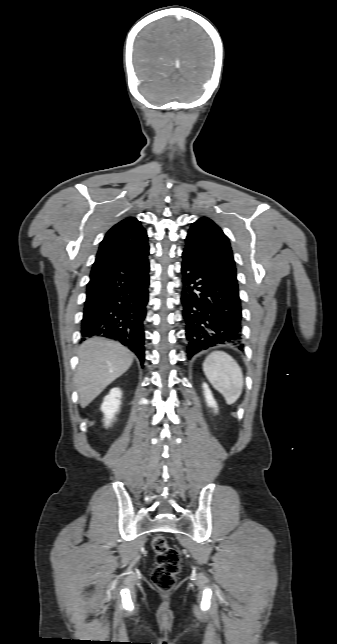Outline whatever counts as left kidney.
Listing matches in <instances>:
<instances>
[{"label": "left kidney", "mask_w": 337, "mask_h": 644, "mask_svg": "<svg viewBox=\"0 0 337 644\" xmlns=\"http://www.w3.org/2000/svg\"><path fill=\"white\" fill-rule=\"evenodd\" d=\"M202 387H203V390H204L203 392H204L205 400H206V403H207L208 407L214 408L215 412H217V410H218L217 409V404H216V401H215V399H214V397L212 395V392H211L210 388L208 387V385L206 383H203Z\"/></svg>", "instance_id": "left-kidney-1"}]
</instances>
